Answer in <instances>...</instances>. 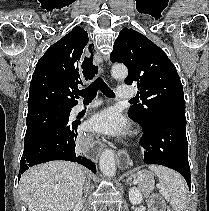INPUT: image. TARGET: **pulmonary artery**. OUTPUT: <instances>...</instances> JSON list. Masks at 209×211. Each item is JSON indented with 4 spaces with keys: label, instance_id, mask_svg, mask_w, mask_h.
Here are the masks:
<instances>
[{
    "label": "pulmonary artery",
    "instance_id": "1",
    "mask_svg": "<svg viewBox=\"0 0 209 211\" xmlns=\"http://www.w3.org/2000/svg\"><path fill=\"white\" fill-rule=\"evenodd\" d=\"M135 96V91L131 86L128 85H120L117 88V97L119 99H130L133 98ZM101 104L100 101H93L88 105H83V104H78L74 110L75 112H80L86 108H94L97 107Z\"/></svg>",
    "mask_w": 209,
    "mask_h": 211
}]
</instances>
